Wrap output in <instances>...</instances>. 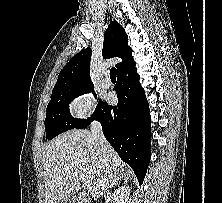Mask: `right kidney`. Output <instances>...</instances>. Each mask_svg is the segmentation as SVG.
<instances>
[{
  "mask_svg": "<svg viewBox=\"0 0 222 203\" xmlns=\"http://www.w3.org/2000/svg\"><path fill=\"white\" fill-rule=\"evenodd\" d=\"M130 187L122 186L114 191L113 193V203H129Z\"/></svg>",
  "mask_w": 222,
  "mask_h": 203,
  "instance_id": "obj_1",
  "label": "right kidney"
}]
</instances>
